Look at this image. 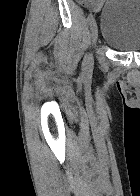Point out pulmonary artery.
Segmentation results:
<instances>
[{"mask_svg":"<svg viewBox=\"0 0 140 196\" xmlns=\"http://www.w3.org/2000/svg\"><path fill=\"white\" fill-rule=\"evenodd\" d=\"M56 192H67V191H56Z\"/></svg>","mask_w":140,"mask_h":196,"instance_id":"pulmonary-artery-1","label":"pulmonary artery"}]
</instances>
